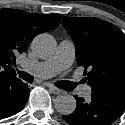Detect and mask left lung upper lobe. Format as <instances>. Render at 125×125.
Instances as JSON below:
<instances>
[{"mask_svg": "<svg viewBox=\"0 0 125 125\" xmlns=\"http://www.w3.org/2000/svg\"><path fill=\"white\" fill-rule=\"evenodd\" d=\"M76 48V61L92 93L125 96V35L115 25L92 17H63ZM88 70V72H87Z\"/></svg>", "mask_w": 125, "mask_h": 125, "instance_id": "left-lung-upper-lobe-1", "label": "left lung upper lobe"}]
</instances>
